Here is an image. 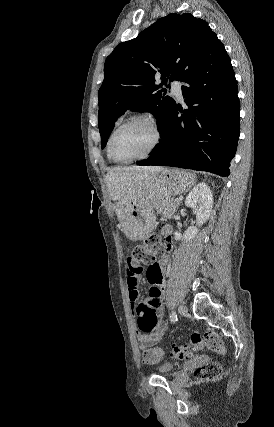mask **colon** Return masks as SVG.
<instances>
[{"instance_id":"1","label":"colon","mask_w":274,"mask_h":427,"mask_svg":"<svg viewBox=\"0 0 274 427\" xmlns=\"http://www.w3.org/2000/svg\"><path fill=\"white\" fill-rule=\"evenodd\" d=\"M130 259H133V264H126L128 267L140 269L141 265H146V261L156 259L157 253L161 252L160 238L156 234H152L147 239L143 240L139 245L129 250ZM210 349L219 353H224L225 348L222 346L220 337L214 332H194L191 335V340L188 343L175 345L172 347L171 356L176 359H188L196 351L202 349ZM167 351L163 347H145L142 356L143 364H155L157 359H166ZM223 375V367L218 362H210L200 367L197 370V377L201 381L217 380Z\"/></svg>"}]
</instances>
